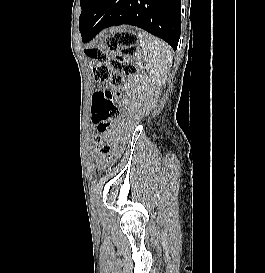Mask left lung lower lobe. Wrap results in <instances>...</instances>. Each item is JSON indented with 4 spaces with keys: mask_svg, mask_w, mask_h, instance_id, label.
<instances>
[{
    "mask_svg": "<svg viewBox=\"0 0 265 273\" xmlns=\"http://www.w3.org/2000/svg\"><path fill=\"white\" fill-rule=\"evenodd\" d=\"M120 24L140 27L176 50L181 30L180 0H91L80 24L83 42Z\"/></svg>",
    "mask_w": 265,
    "mask_h": 273,
    "instance_id": "obj_1",
    "label": "left lung lower lobe"
}]
</instances>
